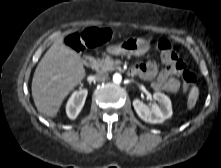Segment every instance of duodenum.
<instances>
[{"label": "duodenum", "mask_w": 221, "mask_h": 168, "mask_svg": "<svg viewBox=\"0 0 221 168\" xmlns=\"http://www.w3.org/2000/svg\"><path fill=\"white\" fill-rule=\"evenodd\" d=\"M83 63H84V65H85L86 67H88V68H94V67L96 66V60H95V58H94L93 56H91V55H86V56H84V58H83ZM129 73H130V74H135L133 69H131V70L129 71Z\"/></svg>", "instance_id": "obj_1"}]
</instances>
